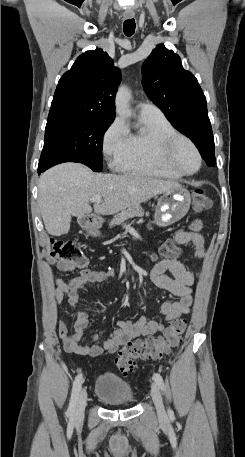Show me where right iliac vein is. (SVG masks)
Segmentation results:
<instances>
[{
  "mask_svg": "<svg viewBox=\"0 0 245 457\" xmlns=\"http://www.w3.org/2000/svg\"><path fill=\"white\" fill-rule=\"evenodd\" d=\"M86 403L87 392L86 389H83L79 394L78 400L76 402V408L74 413V420L76 423L81 422L83 420Z\"/></svg>",
  "mask_w": 245,
  "mask_h": 457,
  "instance_id": "right-iliac-vein-1",
  "label": "right iliac vein"
}]
</instances>
